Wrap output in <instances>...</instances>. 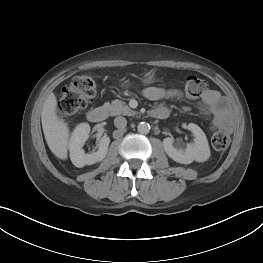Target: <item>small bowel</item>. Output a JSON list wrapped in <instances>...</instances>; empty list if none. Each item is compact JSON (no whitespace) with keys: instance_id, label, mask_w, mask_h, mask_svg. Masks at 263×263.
Wrapping results in <instances>:
<instances>
[{"instance_id":"small-bowel-1","label":"small bowel","mask_w":263,"mask_h":263,"mask_svg":"<svg viewBox=\"0 0 263 263\" xmlns=\"http://www.w3.org/2000/svg\"><path fill=\"white\" fill-rule=\"evenodd\" d=\"M143 96L151 101H162L171 98H182V93L177 89H165L160 87H148L143 90ZM166 109L159 106L156 110ZM200 109L211 115L215 123L224 129L230 128V116L225 101L216 90H207L200 103Z\"/></svg>"}]
</instances>
